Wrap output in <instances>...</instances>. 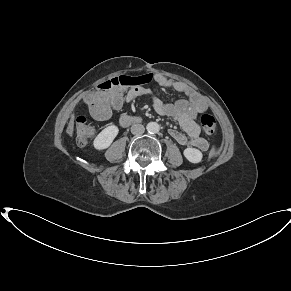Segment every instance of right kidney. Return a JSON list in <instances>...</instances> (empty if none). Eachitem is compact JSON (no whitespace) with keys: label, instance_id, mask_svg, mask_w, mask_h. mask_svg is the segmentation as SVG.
Returning <instances> with one entry per match:
<instances>
[{"label":"right kidney","instance_id":"1","mask_svg":"<svg viewBox=\"0 0 291 291\" xmlns=\"http://www.w3.org/2000/svg\"><path fill=\"white\" fill-rule=\"evenodd\" d=\"M119 129L115 125H110L103 129L94 139L93 146L96 150L108 148L115 137L118 135Z\"/></svg>","mask_w":291,"mask_h":291}]
</instances>
